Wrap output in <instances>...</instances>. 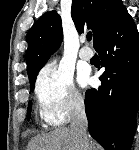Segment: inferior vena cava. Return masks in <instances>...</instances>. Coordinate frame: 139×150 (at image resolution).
Instances as JSON below:
<instances>
[{
  "label": "inferior vena cava",
  "instance_id": "1",
  "mask_svg": "<svg viewBox=\"0 0 139 150\" xmlns=\"http://www.w3.org/2000/svg\"><path fill=\"white\" fill-rule=\"evenodd\" d=\"M74 102L75 107L73 111L70 129L72 130L79 145L78 150H88V122L85 113L84 102L80 98H75Z\"/></svg>",
  "mask_w": 139,
  "mask_h": 150
}]
</instances>
